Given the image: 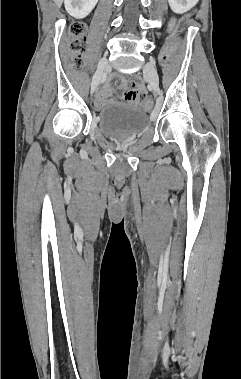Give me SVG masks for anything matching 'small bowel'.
Returning <instances> with one entry per match:
<instances>
[{
	"label": "small bowel",
	"instance_id": "1",
	"mask_svg": "<svg viewBox=\"0 0 241 379\" xmlns=\"http://www.w3.org/2000/svg\"><path fill=\"white\" fill-rule=\"evenodd\" d=\"M128 87L130 89H128ZM137 87L138 84L135 81L127 82L126 80H121L120 89L123 92L122 98L129 103L142 105V99L145 98L144 90H135ZM110 93V88L108 84H106L96 97L94 104L96 110H100L106 105V98L110 95Z\"/></svg>",
	"mask_w": 241,
	"mask_h": 379
}]
</instances>
